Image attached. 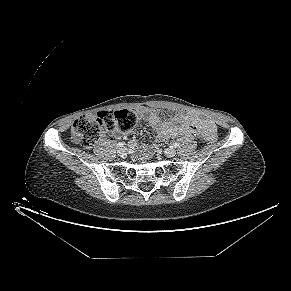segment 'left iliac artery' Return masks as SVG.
<instances>
[{"instance_id": "1", "label": "left iliac artery", "mask_w": 291, "mask_h": 291, "mask_svg": "<svg viewBox=\"0 0 291 291\" xmlns=\"http://www.w3.org/2000/svg\"><path fill=\"white\" fill-rule=\"evenodd\" d=\"M173 146H174L175 148H178V147H179V143L175 142V143L173 144Z\"/></svg>"}]
</instances>
